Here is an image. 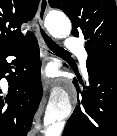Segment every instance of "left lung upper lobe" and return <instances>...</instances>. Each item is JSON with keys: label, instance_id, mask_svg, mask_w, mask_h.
Wrapping results in <instances>:
<instances>
[{"label": "left lung upper lobe", "instance_id": "obj_1", "mask_svg": "<svg viewBox=\"0 0 117 136\" xmlns=\"http://www.w3.org/2000/svg\"><path fill=\"white\" fill-rule=\"evenodd\" d=\"M72 21V34L84 36L86 63L94 60L117 62V10L115 0H49Z\"/></svg>", "mask_w": 117, "mask_h": 136}]
</instances>
